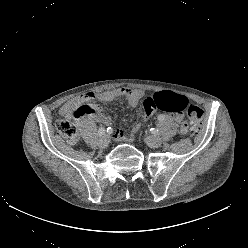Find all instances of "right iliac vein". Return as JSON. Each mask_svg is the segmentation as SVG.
Wrapping results in <instances>:
<instances>
[{
    "label": "right iliac vein",
    "instance_id": "63e3f726",
    "mask_svg": "<svg viewBox=\"0 0 248 248\" xmlns=\"http://www.w3.org/2000/svg\"><path fill=\"white\" fill-rule=\"evenodd\" d=\"M110 138L108 135H103L98 142L99 147L106 148L109 145Z\"/></svg>",
    "mask_w": 248,
    "mask_h": 248
}]
</instances>
